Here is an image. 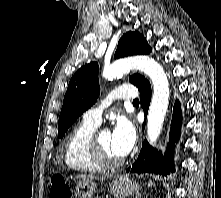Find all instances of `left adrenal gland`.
Returning <instances> with one entry per match:
<instances>
[{
    "label": "left adrenal gland",
    "instance_id": "obj_1",
    "mask_svg": "<svg viewBox=\"0 0 221 198\" xmlns=\"http://www.w3.org/2000/svg\"><path fill=\"white\" fill-rule=\"evenodd\" d=\"M135 198H141V195L140 194H138Z\"/></svg>",
    "mask_w": 221,
    "mask_h": 198
}]
</instances>
